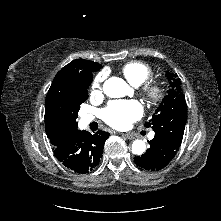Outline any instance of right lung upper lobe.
Masks as SVG:
<instances>
[{
	"mask_svg": "<svg viewBox=\"0 0 221 221\" xmlns=\"http://www.w3.org/2000/svg\"><path fill=\"white\" fill-rule=\"evenodd\" d=\"M100 68L101 65L93 61L73 60L56 74L46 100H49L52 96L68 93L81 86L90 85L92 83V73ZM46 133L53 147H57L67 142L74 131L67 134H58L51 131H46Z\"/></svg>",
	"mask_w": 221,
	"mask_h": 221,
	"instance_id": "cb5924a9",
	"label": "right lung upper lobe"
}]
</instances>
